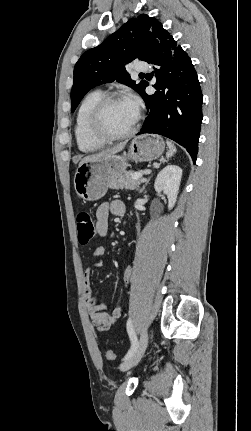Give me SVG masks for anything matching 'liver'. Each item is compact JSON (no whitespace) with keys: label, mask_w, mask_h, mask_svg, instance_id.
Wrapping results in <instances>:
<instances>
[{"label":"liver","mask_w":251,"mask_h":431,"mask_svg":"<svg viewBox=\"0 0 251 431\" xmlns=\"http://www.w3.org/2000/svg\"><path fill=\"white\" fill-rule=\"evenodd\" d=\"M125 145H126V142H122V143H120V144H118V145H116L110 149H106V150H103L99 153L86 156L85 158H83L81 160L79 165H81L82 163L88 162V161H94V160L100 159V158L108 156V155L116 154V153L122 151L124 149Z\"/></svg>","instance_id":"liver-1"}]
</instances>
